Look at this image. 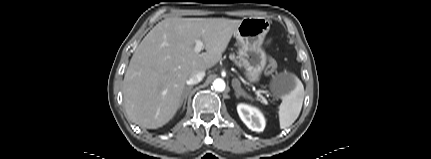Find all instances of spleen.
I'll return each instance as SVG.
<instances>
[{
    "instance_id": "obj_1",
    "label": "spleen",
    "mask_w": 431,
    "mask_h": 159,
    "mask_svg": "<svg viewBox=\"0 0 431 159\" xmlns=\"http://www.w3.org/2000/svg\"><path fill=\"white\" fill-rule=\"evenodd\" d=\"M304 86L296 78V88L287 95L279 106L280 128L285 129L292 125L298 118L304 100Z\"/></svg>"
}]
</instances>
